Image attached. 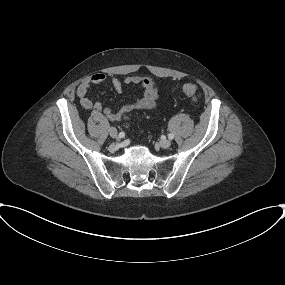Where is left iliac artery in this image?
Here are the masks:
<instances>
[{
	"mask_svg": "<svg viewBox=\"0 0 285 285\" xmlns=\"http://www.w3.org/2000/svg\"><path fill=\"white\" fill-rule=\"evenodd\" d=\"M168 138H169L170 140H172V139L174 138V135H173L172 133H170V134L168 135Z\"/></svg>",
	"mask_w": 285,
	"mask_h": 285,
	"instance_id": "1",
	"label": "left iliac artery"
}]
</instances>
